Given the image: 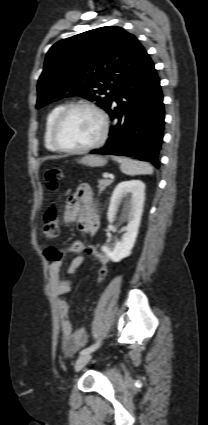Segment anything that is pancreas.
Returning <instances> with one entry per match:
<instances>
[{"label": "pancreas", "mask_w": 208, "mask_h": 425, "mask_svg": "<svg viewBox=\"0 0 208 425\" xmlns=\"http://www.w3.org/2000/svg\"><path fill=\"white\" fill-rule=\"evenodd\" d=\"M112 180H99L98 181V188H99V194H101L107 186L111 185Z\"/></svg>", "instance_id": "1"}]
</instances>
